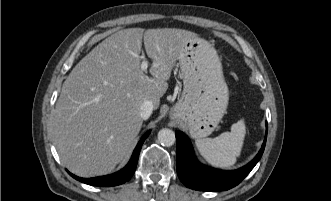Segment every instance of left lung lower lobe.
I'll return each mask as SVG.
<instances>
[{"label": "left lung lower lobe", "mask_w": 331, "mask_h": 201, "mask_svg": "<svg viewBox=\"0 0 331 201\" xmlns=\"http://www.w3.org/2000/svg\"><path fill=\"white\" fill-rule=\"evenodd\" d=\"M175 135L178 177L186 187L198 191H222L238 185L260 160L267 139L266 135L259 153L246 166L234 171H223L201 165L193 154L188 137L179 131Z\"/></svg>", "instance_id": "left-lung-lower-lobe-1"}]
</instances>
